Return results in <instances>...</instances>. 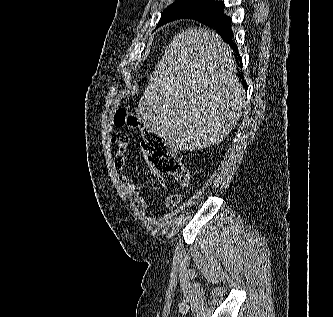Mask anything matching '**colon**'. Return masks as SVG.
<instances>
[{"label":"colon","instance_id":"colon-1","mask_svg":"<svg viewBox=\"0 0 333 317\" xmlns=\"http://www.w3.org/2000/svg\"><path fill=\"white\" fill-rule=\"evenodd\" d=\"M117 128H130L141 132L142 148L149 162L160 172L175 178L182 186L189 184L186 166L178 159L174 149L155 131L150 129L137 114L125 109H118L114 116Z\"/></svg>","mask_w":333,"mask_h":317}]
</instances>
